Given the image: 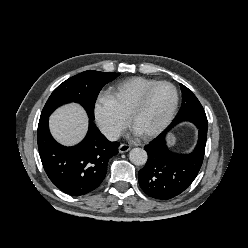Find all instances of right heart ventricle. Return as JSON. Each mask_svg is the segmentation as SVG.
<instances>
[{"label":"right heart ventricle","mask_w":248,"mask_h":248,"mask_svg":"<svg viewBox=\"0 0 248 248\" xmlns=\"http://www.w3.org/2000/svg\"><path fill=\"white\" fill-rule=\"evenodd\" d=\"M155 82L157 81L144 77H132L111 86L108 89V94L119 111L128 117L130 109L140 95Z\"/></svg>","instance_id":"obj_1"}]
</instances>
